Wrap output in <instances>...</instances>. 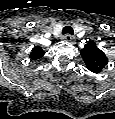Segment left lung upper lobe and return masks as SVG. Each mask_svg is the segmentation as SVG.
Masks as SVG:
<instances>
[{
    "label": "left lung upper lobe",
    "instance_id": "1",
    "mask_svg": "<svg viewBox=\"0 0 115 119\" xmlns=\"http://www.w3.org/2000/svg\"><path fill=\"white\" fill-rule=\"evenodd\" d=\"M80 53L87 68L92 72L101 71L108 63L106 55L96 46L94 41L87 42Z\"/></svg>",
    "mask_w": 115,
    "mask_h": 119
}]
</instances>
